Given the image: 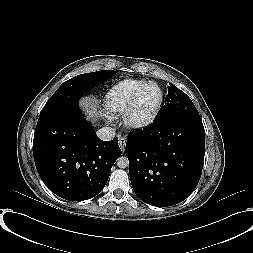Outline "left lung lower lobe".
<instances>
[{
    "label": "left lung lower lobe",
    "instance_id": "obj_1",
    "mask_svg": "<svg viewBox=\"0 0 253 253\" xmlns=\"http://www.w3.org/2000/svg\"><path fill=\"white\" fill-rule=\"evenodd\" d=\"M135 194L166 207L185 200L197 186L204 163L205 130L200 117H177L128 135L126 149Z\"/></svg>",
    "mask_w": 253,
    "mask_h": 253
}]
</instances>
